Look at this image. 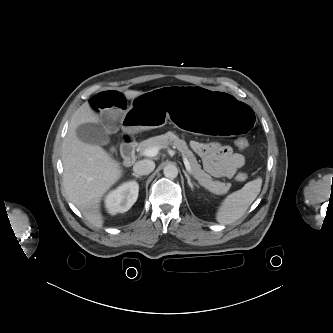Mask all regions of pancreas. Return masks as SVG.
<instances>
[{"mask_svg":"<svg viewBox=\"0 0 333 333\" xmlns=\"http://www.w3.org/2000/svg\"><path fill=\"white\" fill-rule=\"evenodd\" d=\"M167 145H173L174 148H177L187 157L191 165L192 174L198 180L201 186L216 195H222L229 191L231 184L220 181H213L211 176L201 169L200 164L197 162L193 152L188 148L186 142L182 139H179V137L176 136L172 131L142 141L138 145L137 150L143 154L145 149L149 147L158 146L163 148Z\"/></svg>","mask_w":333,"mask_h":333,"instance_id":"pancreas-1","label":"pancreas"}]
</instances>
